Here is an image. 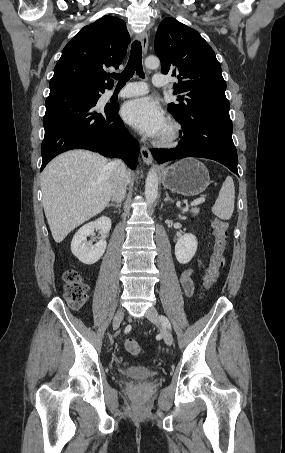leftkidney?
Instances as JSON below:
<instances>
[{"label":"left kidney","mask_w":285,"mask_h":453,"mask_svg":"<svg viewBox=\"0 0 285 453\" xmlns=\"http://www.w3.org/2000/svg\"><path fill=\"white\" fill-rule=\"evenodd\" d=\"M197 239L193 234H184L175 245V256L179 263L187 264L197 251Z\"/></svg>","instance_id":"obj_1"}]
</instances>
